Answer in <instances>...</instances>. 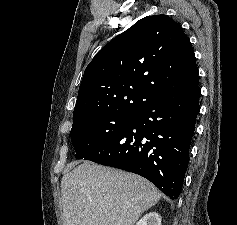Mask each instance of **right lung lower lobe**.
Instances as JSON below:
<instances>
[{
	"label": "right lung lower lobe",
	"instance_id": "obj_1",
	"mask_svg": "<svg viewBox=\"0 0 237 225\" xmlns=\"http://www.w3.org/2000/svg\"><path fill=\"white\" fill-rule=\"evenodd\" d=\"M200 94L196 85L161 95L145 104L118 135L83 159L141 175L171 199L178 198Z\"/></svg>",
	"mask_w": 237,
	"mask_h": 225
}]
</instances>
